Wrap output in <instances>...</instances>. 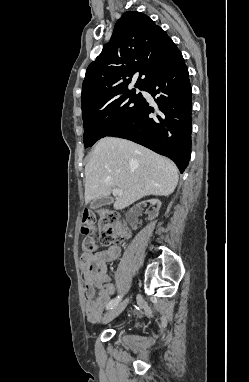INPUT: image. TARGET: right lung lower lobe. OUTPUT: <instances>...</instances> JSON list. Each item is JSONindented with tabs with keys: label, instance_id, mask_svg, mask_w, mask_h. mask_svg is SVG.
Returning <instances> with one entry per match:
<instances>
[{
	"label": "right lung lower lobe",
	"instance_id": "1",
	"mask_svg": "<svg viewBox=\"0 0 249 382\" xmlns=\"http://www.w3.org/2000/svg\"><path fill=\"white\" fill-rule=\"evenodd\" d=\"M143 90L155 105L143 98L139 111L108 136L131 140L171 158L183 173L191 155V86L181 57L157 71Z\"/></svg>",
	"mask_w": 249,
	"mask_h": 382
}]
</instances>
